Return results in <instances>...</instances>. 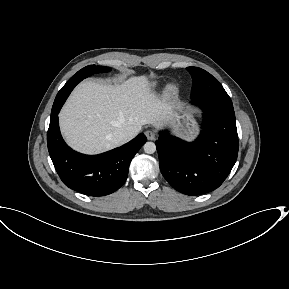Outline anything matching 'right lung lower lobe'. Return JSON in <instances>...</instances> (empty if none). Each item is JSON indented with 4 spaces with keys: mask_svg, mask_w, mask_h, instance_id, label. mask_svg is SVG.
<instances>
[{
    "mask_svg": "<svg viewBox=\"0 0 289 289\" xmlns=\"http://www.w3.org/2000/svg\"><path fill=\"white\" fill-rule=\"evenodd\" d=\"M81 78L71 79L58 92L51 112L47 145L54 167L69 188L89 196H105L119 189L126 181L132 158L147 138L139 134L127 144L103 154H80L66 145L58 124V113Z\"/></svg>",
    "mask_w": 289,
    "mask_h": 289,
    "instance_id": "right-lung-lower-lobe-1",
    "label": "right lung lower lobe"
}]
</instances>
